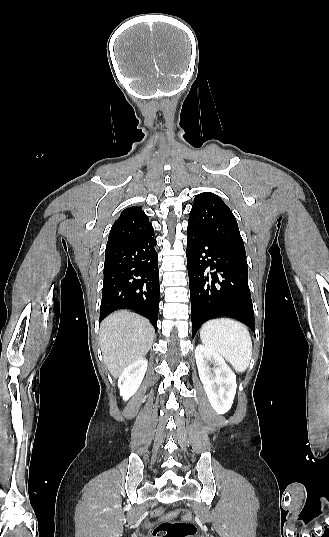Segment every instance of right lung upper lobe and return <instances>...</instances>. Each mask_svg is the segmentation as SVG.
<instances>
[{"mask_svg": "<svg viewBox=\"0 0 329 537\" xmlns=\"http://www.w3.org/2000/svg\"><path fill=\"white\" fill-rule=\"evenodd\" d=\"M152 229L153 227L141 207L126 208L113 224L107 246L136 239Z\"/></svg>", "mask_w": 329, "mask_h": 537, "instance_id": "cb5924a9", "label": "right lung upper lobe"}]
</instances>
